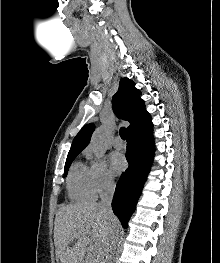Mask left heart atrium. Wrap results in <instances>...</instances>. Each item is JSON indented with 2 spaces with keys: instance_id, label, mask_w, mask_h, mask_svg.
<instances>
[{
  "instance_id": "39dd6f15",
  "label": "left heart atrium",
  "mask_w": 220,
  "mask_h": 263,
  "mask_svg": "<svg viewBox=\"0 0 220 263\" xmlns=\"http://www.w3.org/2000/svg\"><path fill=\"white\" fill-rule=\"evenodd\" d=\"M111 165L114 173L120 174L127 166L126 159L120 152H113L111 154Z\"/></svg>"
}]
</instances>
